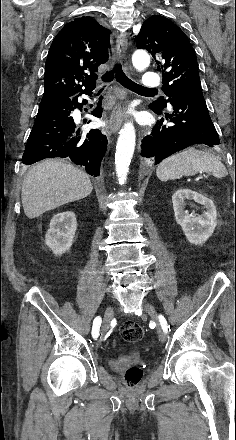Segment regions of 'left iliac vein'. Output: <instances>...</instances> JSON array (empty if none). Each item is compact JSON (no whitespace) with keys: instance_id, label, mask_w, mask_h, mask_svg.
<instances>
[{"instance_id":"obj_1","label":"left iliac vein","mask_w":236,"mask_h":440,"mask_svg":"<svg viewBox=\"0 0 236 440\" xmlns=\"http://www.w3.org/2000/svg\"><path fill=\"white\" fill-rule=\"evenodd\" d=\"M143 307H144L145 313H147L151 317L152 321H154L156 323L159 338L162 342H164L166 340V334L161 326L159 316H158V313H157L155 307L152 304L147 303V302L144 303Z\"/></svg>"}]
</instances>
